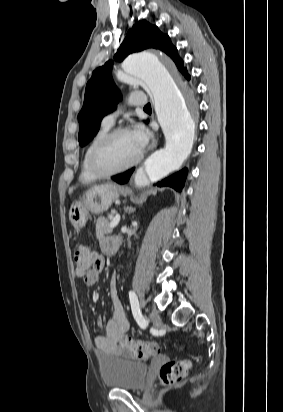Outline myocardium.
Returning a JSON list of instances; mask_svg holds the SVG:
<instances>
[{"label": "myocardium", "instance_id": "f54148a6", "mask_svg": "<svg viewBox=\"0 0 283 412\" xmlns=\"http://www.w3.org/2000/svg\"><path fill=\"white\" fill-rule=\"evenodd\" d=\"M131 132V130L127 127H119L108 131L93 147L90 158H89V165L92 172L95 174L96 177L100 178H107L111 177L115 174L121 173L126 171L135 165H137L143 158V150L139 152L137 157L131 161L130 163L111 170H105L99 165V158L104 149L109 145V143L118 135Z\"/></svg>", "mask_w": 283, "mask_h": 412}]
</instances>
